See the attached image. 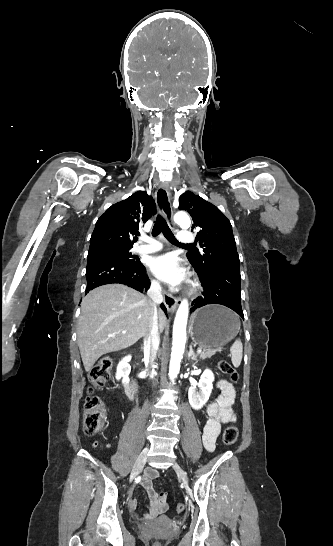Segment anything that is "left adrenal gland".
I'll return each mask as SVG.
<instances>
[{"instance_id": "1", "label": "left adrenal gland", "mask_w": 333, "mask_h": 546, "mask_svg": "<svg viewBox=\"0 0 333 546\" xmlns=\"http://www.w3.org/2000/svg\"><path fill=\"white\" fill-rule=\"evenodd\" d=\"M188 358H189V359L191 358L193 361L197 362V355H196V353L193 351L192 344L189 346Z\"/></svg>"}]
</instances>
